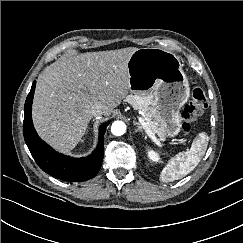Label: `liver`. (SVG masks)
Returning a JSON list of instances; mask_svg holds the SVG:
<instances>
[{
    "label": "liver",
    "mask_w": 243,
    "mask_h": 243,
    "mask_svg": "<svg viewBox=\"0 0 243 243\" xmlns=\"http://www.w3.org/2000/svg\"><path fill=\"white\" fill-rule=\"evenodd\" d=\"M138 49L69 55L48 66L38 77L32 118L40 137L68 153L80 142L99 102L109 116L130 89L128 61Z\"/></svg>",
    "instance_id": "1"
}]
</instances>
